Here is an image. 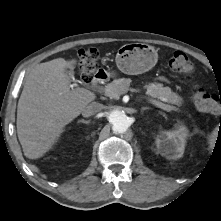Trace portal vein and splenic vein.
Masks as SVG:
<instances>
[{"label":"portal vein and splenic vein","mask_w":221,"mask_h":221,"mask_svg":"<svg viewBox=\"0 0 221 221\" xmlns=\"http://www.w3.org/2000/svg\"><path fill=\"white\" fill-rule=\"evenodd\" d=\"M148 101L151 103V104H153V105H155L156 107H158V108H161V109H163V110H165V111H171L172 110V107L170 106V105H166V104H164V103H162V102H159V101H156V100H153V99H148Z\"/></svg>","instance_id":"18ae733b"}]
</instances>
